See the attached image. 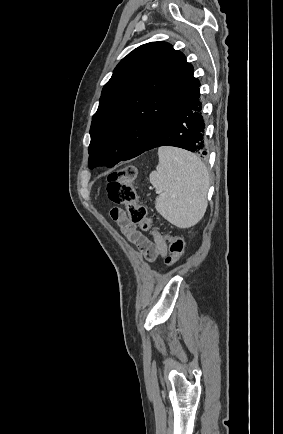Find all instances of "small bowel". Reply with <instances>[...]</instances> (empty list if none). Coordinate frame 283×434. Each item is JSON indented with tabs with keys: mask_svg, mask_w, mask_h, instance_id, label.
<instances>
[{
	"mask_svg": "<svg viewBox=\"0 0 283 434\" xmlns=\"http://www.w3.org/2000/svg\"><path fill=\"white\" fill-rule=\"evenodd\" d=\"M110 214L127 240L134 244L148 261L153 262L159 257H166L167 244L159 232H154L153 240H151L137 230L136 225L130 221L124 210L113 208Z\"/></svg>",
	"mask_w": 283,
	"mask_h": 434,
	"instance_id": "c3829d8e",
	"label": "small bowel"
}]
</instances>
